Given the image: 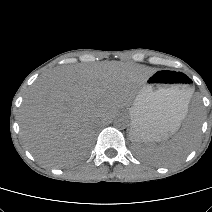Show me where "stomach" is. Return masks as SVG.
<instances>
[{"label":"stomach","instance_id":"stomach-1","mask_svg":"<svg viewBox=\"0 0 212 212\" xmlns=\"http://www.w3.org/2000/svg\"><path fill=\"white\" fill-rule=\"evenodd\" d=\"M192 93L183 73L171 70L152 73L130 108V139L135 144L167 140L184 119Z\"/></svg>","mask_w":212,"mask_h":212}]
</instances>
